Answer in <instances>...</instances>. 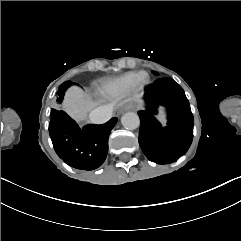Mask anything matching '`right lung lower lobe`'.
<instances>
[{
  "label": "right lung lower lobe",
  "mask_w": 241,
  "mask_h": 241,
  "mask_svg": "<svg viewBox=\"0 0 241 241\" xmlns=\"http://www.w3.org/2000/svg\"><path fill=\"white\" fill-rule=\"evenodd\" d=\"M117 118L105 124H89L82 129L64 111L51 114L49 134L57 155L73 168L94 170L105 161L108 137Z\"/></svg>",
  "instance_id": "1"
}]
</instances>
